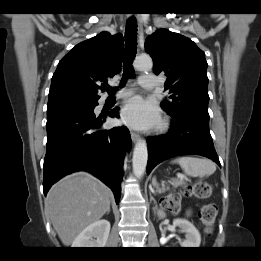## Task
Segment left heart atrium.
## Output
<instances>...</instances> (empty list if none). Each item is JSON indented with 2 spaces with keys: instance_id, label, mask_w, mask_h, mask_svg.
Returning a JSON list of instances; mask_svg holds the SVG:
<instances>
[{
  "instance_id": "left-heart-atrium-1",
  "label": "left heart atrium",
  "mask_w": 261,
  "mask_h": 261,
  "mask_svg": "<svg viewBox=\"0 0 261 261\" xmlns=\"http://www.w3.org/2000/svg\"><path fill=\"white\" fill-rule=\"evenodd\" d=\"M121 117L126 124L139 129L154 127L160 121L156 106L140 96H134L126 101Z\"/></svg>"
}]
</instances>
